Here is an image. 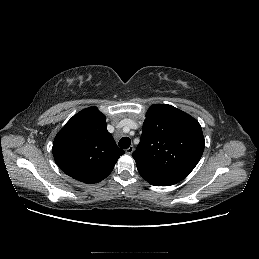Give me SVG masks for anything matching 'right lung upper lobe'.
<instances>
[{"mask_svg": "<svg viewBox=\"0 0 259 259\" xmlns=\"http://www.w3.org/2000/svg\"><path fill=\"white\" fill-rule=\"evenodd\" d=\"M52 152L64 173L89 184L105 179L124 154L96 107L80 111L66 123L54 139Z\"/></svg>", "mask_w": 259, "mask_h": 259, "instance_id": "obj_1", "label": "right lung upper lobe"}]
</instances>
